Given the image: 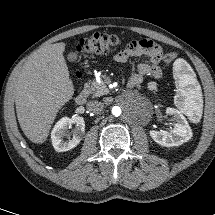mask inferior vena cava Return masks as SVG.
Returning <instances> with one entry per match:
<instances>
[{
	"label": "inferior vena cava",
	"instance_id": "inferior-vena-cava-1",
	"mask_svg": "<svg viewBox=\"0 0 215 215\" xmlns=\"http://www.w3.org/2000/svg\"><path fill=\"white\" fill-rule=\"evenodd\" d=\"M103 108L104 104L100 101L93 100L87 103V109L93 113H99L103 110Z\"/></svg>",
	"mask_w": 215,
	"mask_h": 215
}]
</instances>
